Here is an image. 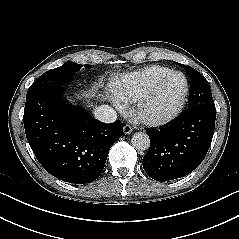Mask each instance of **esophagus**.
Instances as JSON below:
<instances>
[{
	"label": "esophagus",
	"instance_id": "1",
	"mask_svg": "<svg viewBox=\"0 0 239 239\" xmlns=\"http://www.w3.org/2000/svg\"><path fill=\"white\" fill-rule=\"evenodd\" d=\"M132 131H133V128L129 124L124 125L123 127L124 134H130Z\"/></svg>",
	"mask_w": 239,
	"mask_h": 239
}]
</instances>
